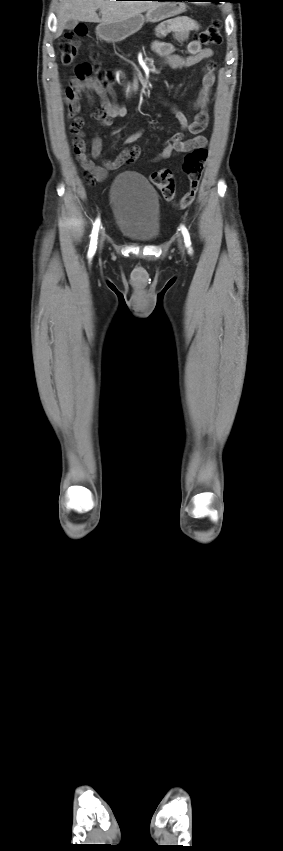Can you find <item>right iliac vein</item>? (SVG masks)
Returning a JSON list of instances; mask_svg holds the SVG:
<instances>
[{"mask_svg":"<svg viewBox=\"0 0 283 851\" xmlns=\"http://www.w3.org/2000/svg\"><path fill=\"white\" fill-rule=\"evenodd\" d=\"M103 241H104V237H103V235H101V237H100V241H99V246H100V247H102V245H103Z\"/></svg>","mask_w":283,"mask_h":851,"instance_id":"obj_1","label":"right iliac vein"}]
</instances>
